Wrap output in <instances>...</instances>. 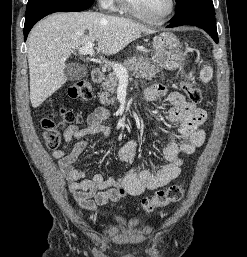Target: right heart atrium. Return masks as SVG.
Returning <instances> with one entry per match:
<instances>
[{
	"label": "right heart atrium",
	"mask_w": 247,
	"mask_h": 257,
	"mask_svg": "<svg viewBox=\"0 0 247 257\" xmlns=\"http://www.w3.org/2000/svg\"><path fill=\"white\" fill-rule=\"evenodd\" d=\"M101 8L105 10H112L116 0H97Z\"/></svg>",
	"instance_id": "obj_1"
}]
</instances>
